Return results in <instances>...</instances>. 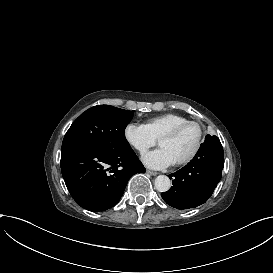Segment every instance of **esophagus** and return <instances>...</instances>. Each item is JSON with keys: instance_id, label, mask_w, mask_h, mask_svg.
I'll list each match as a JSON object with an SVG mask.
<instances>
[{"instance_id": "esophagus-1", "label": "esophagus", "mask_w": 273, "mask_h": 273, "mask_svg": "<svg viewBox=\"0 0 273 273\" xmlns=\"http://www.w3.org/2000/svg\"><path fill=\"white\" fill-rule=\"evenodd\" d=\"M146 173L152 176L158 175V172L151 171V170H146Z\"/></svg>"}]
</instances>
